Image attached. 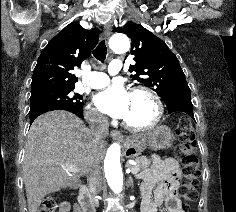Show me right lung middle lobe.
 <instances>
[{
    "mask_svg": "<svg viewBox=\"0 0 236 212\" xmlns=\"http://www.w3.org/2000/svg\"><path fill=\"white\" fill-rule=\"evenodd\" d=\"M74 87L49 88L32 92L31 106L37 104L58 105L83 109V97L73 93Z\"/></svg>",
    "mask_w": 236,
    "mask_h": 212,
    "instance_id": "obj_1",
    "label": "right lung middle lobe"
}]
</instances>
